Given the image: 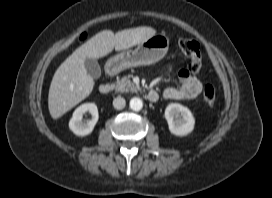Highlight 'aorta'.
Returning a JSON list of instances; mask_svg holds the SVG:
<instances>
[{
    "label": "aorta",
    "instance_id": "762f6f07",
    "mask_svg": "<svg viewBox=\"0 0 272 198\" xmlns=\"http://www.w3.org/2000/svg\"><path fill=\"white\" fill-rule=\"evenodd\" d=\"M129 106L133 111H140L143 107V102L140 98L134 97L130 100Z\"/></svg>",
    "mask_w": 272,
    "mask_h": 198
}]
</instances>
